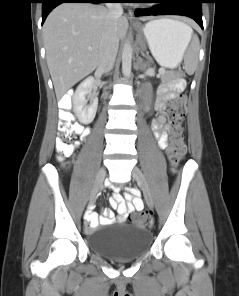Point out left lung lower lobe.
<instances>
[{"label": "left lung lower lobe", "instance_id": "1", "mask_svg": "<svg viewBox=\"0 0 239 296\" xmlns=\"http://www.w3.org/2000/svg\"><path fill=\"white\" fill-rule=\"evenodd\" d=\"M166 3L160 7L151 10L138 9L135 11L136 16L149 15H182L194 19L203 29L202 21V3L204 0H165Z\"/></svg>", "mask_w": 239, "mask_h": 296}]
</instances>
